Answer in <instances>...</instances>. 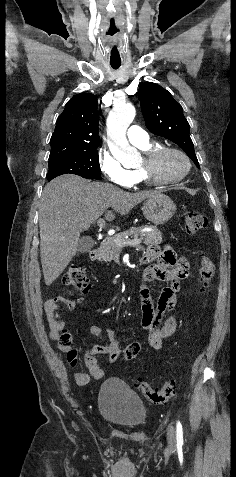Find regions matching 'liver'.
<instances>
[{"label":"liver","mask_w":236,"mask_h":477,"mask_svg":"<svg viewBox=\"0 0 236 477\" xmlns=\"http://www.w3.org/2000/svg\"><path fill=\"white\" fill-rule=\"evenodd\" d=\"M158 193V190L129 193L75 175H63L49 182L39 207L40 255L46 285L63 273L78 250L80 234L99 217L105 213L106 220L112 221L113 211L126 215Z\"/></svg>","instance_id":"liver-1"}]
</instances>
